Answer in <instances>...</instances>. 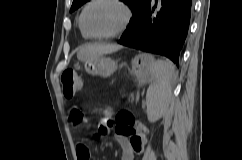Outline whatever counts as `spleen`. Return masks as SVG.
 Returning <instances> with one entry per match:
<instances>
[{"label": "spleen", "mask_w": 242, "mask_h": 160, "mask_svg": "<svg viewBox=\"0 0 242 160\" xmlns=\"http://www.w3.org/2000/svg\"><path fill=\"white\" fill-rule=\"evenodd\" d=\"M149 59L153 82L147 91V103L152 104L156 109L167 108L171 97L174 65L170 61L155 60L151 55H149Z\"/></svg>", "instance_id": "obj_1"}]
</instances>
